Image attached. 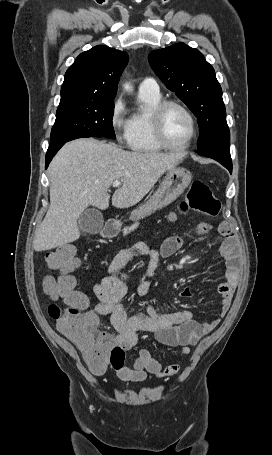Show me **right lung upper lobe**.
<instances>
[{
    "mask_svg": "<svg viewBox=\"0 0 272 455\" xmlns=\"http://www.w3.org/2000/svg\"><path fill=\"white\" fill-rule=\"evenodd\" d=\"M127 62L126 52L105 45L81 53L65 73L60 102L114 100Z\"/></svg>",
    "mask_w": 272,
    "mask_h": 455,
    "instance_id": "obj_1",
    "label": "right lung upper lobe"
}]
</instances>
